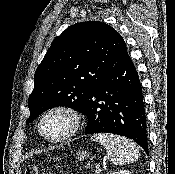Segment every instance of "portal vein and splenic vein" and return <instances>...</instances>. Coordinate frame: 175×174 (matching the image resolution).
Returning a JSON list of instances; mask_svg holds the SVG:
<instances>
[{
  "instance_id": "portal-vein-and-splenic-vein-1",
  "label": "portal vein and splenic vein",
  "mask_w": 175,
  "mask_h": 174,
  "mask_svg": "<svg viewBox=\"0 0 175 174\" xmlns=\"http://www.w3.org/2000/svg\"><path fill=\"white\" fill-rule=\"evenodd\" d=\"M95 172H96L97 174H100V173H101V169H100V167H99V166H98V167H96Z\"/></svg>"
}]
</instances>
